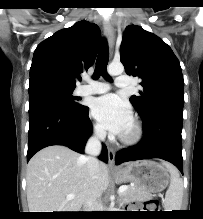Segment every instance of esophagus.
<instances>
[{"mask_svg": "<svg viewBox=\"0 0 203 219\" xmlns=\"http://www.w3.org/2000/svg\"><path fill=\"white\" fill-rule=\"evenodd\" d=\"M104 34L108 41L110 54H113V47L115 42V33L112 25L108 21L103 23ZM108 163L110 167H115V152L112 147H108Z\"/></svg>", "mask_w": 203, "mask_h": 219, "instance_id": "34e87169", "label": "esophagus"}]
</instances>
